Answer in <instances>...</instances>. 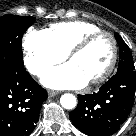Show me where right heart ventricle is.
<instances>
[{
  "label": "right heart ventricle",
  "instance_id": "1",
  "mask_svg": "<svg viewBox=\"0 0 136 136\" xmlns=\"http://www.w3.org/2000/svg\"><path fill=\"white\" fill-rule=\"evenodd\" d=\"M100 28L85 21H65L52 24L44 30L55 45L64 55L84 36L99 31Z\"/></svg>",
  "mask_w": 136,
  "mask_h": 136
}]
</instances>
